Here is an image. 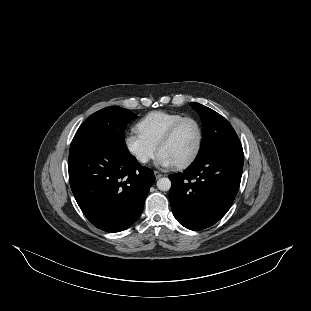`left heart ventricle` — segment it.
<instances>
[{
	"label": "left heart ventricle",
	"mask_w": 311,
	"mask_h": 311,
	"mask_svg": "<svg viewBox=\"0 0 311 311\" xmlns=\"http://www.w3.org/2000/svg\"><path fill=\"white\" fill-rule=\"evenodd\" d=\"M200 138L199 126L195 120H187L179 129L174 140L162 148V154L167 155L176 165L189 160L196 152Z\"/></svg>",
	"instance_id": "1"
}]
</instances>
